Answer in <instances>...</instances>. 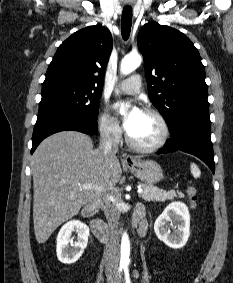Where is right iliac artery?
Wrapping results in <instances>:
<instances>
[{"mask_svg": "<svg viewBox=\"0 0 233 283\" xmlns=\"http://www.w3.org/2000/svg\"><path fill=\"white\" fill-rule=\"evenodd\" d=\"M122 269H123V266H120L119 267V275H120V272L122 271Z\"/></svg>", "mask_w": 233, "mask_h": 283, "instance_id": "right-iliac-artery-1", "label": "right iliac artery"}]
</instances>
